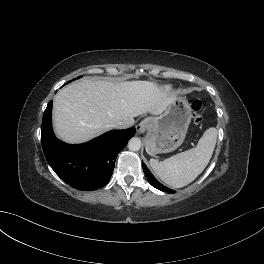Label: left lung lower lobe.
I'll return each instance as SVG.
<instances>
[{"instance_id": "left-lung-lower-lobe-1", "label": "left lung lower lobe", "mask_w": 264, "mask_h": 264, "mask_svg": "<svg viewBox=\"0 0 264 264\" xmlns=\"http://www.w3.org/2000/svg\"><path fill=\"white\" fill-rule=\"evenodd\" d=\"M143 165V171L147 177L148 182L155 188L163 191V192H167V193H174L173 190L165 187L164 185H162L161 183H159L156 178L152 175V173L150 172V170L147 168V166L145 164Z\"/></svg>"}]
</instances>
